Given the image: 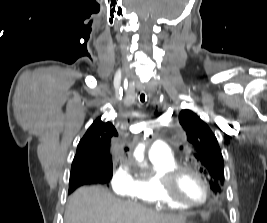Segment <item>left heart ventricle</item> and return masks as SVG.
Here are the masks:
<instances>
[{"label": "left heart ventricle", "mask_w": 267, "mask_h": 223, "mask_svg": "<svg viewBox=\"0 0 267 223\" xmlns=\"http://www.w3.org/2000/svg\"><path fill=\"white\" fill-rule=\"evenodd\" d=\"M179 195L187 200L199 202L205 196V188L201 180L191 172H184L176 185Z\"/></svg>", "instance_id": "obj_1"}]
</instances>
